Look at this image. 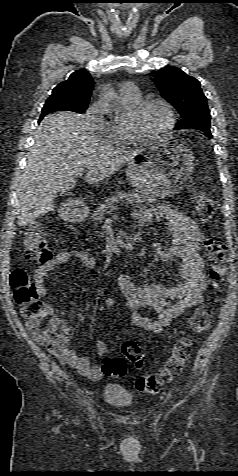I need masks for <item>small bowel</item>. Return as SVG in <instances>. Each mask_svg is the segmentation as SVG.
I'll use <instances>...</instances> for the list:
<instances>
[{
  "instance_id": "c3829d8e",
  "label": "small bowel",
  "mask_w": 238,
  "mask_h": 476,
  "mask_svg": "<svg viewBox=\"0 0 238 476\" xmlns=\"http://www.w3.org/2000/svg\"><path fill=\"white\" fill-rule=\"evenodd\" d=\"M134 217L142 227L149 225L153 219L163 220L171 234L170 244L164 246L161 240L153 244L155 255L164 261L180 260L176 273L180 282L173 287L153 282L147 286H139L132 282L130 276L122 274L118 277L117 287L124 298V307L132 326L153 333H160L185 310L195 308L202 303V294L207 288L203 273L204 263L201 257L203 234L196 222L177 209L166 205H156L150 209H136ZM78 259L88 270L96 268V260L85 250L63 251L51 257L39 266L34 274L36 290L40 297L47 295L46 278L59 266L70 259ZM105 306H116L115 296L110 294L104 299ZM49 327L52 329L68 328L67 322L53 315L49 307ZM141 308H152L157 316L153 319L140 312ZM71 330V329H70ZM98 355L104 356L107 346L104 341H96ZM60 362L76 369L81 375L98 381L103 375L100 366H91L87 357L78 356L77 352L65 346L55 353Z\"/></svg>"
}]
</instances>
